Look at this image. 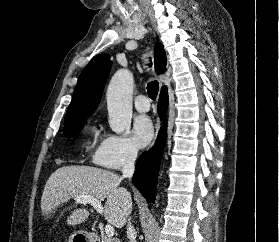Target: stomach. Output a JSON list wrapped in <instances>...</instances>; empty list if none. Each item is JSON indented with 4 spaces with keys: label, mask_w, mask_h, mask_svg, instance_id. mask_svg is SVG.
I'll list each match as a JSON object with an SVG mask.
<instances>
[{
    "label": "stomach",
    "mask_w": 279,
    "mask_h": 242,
    "mask_svg": "<svg viewBox=\"0 0 279 242\" xmlns=\"http://www.w3.org/2000/svg\"><path fill=\"white\" fill-rule=\"evenodd\" d=\"M90 239V235L84 231H76L69 236V242H88Z\"/></svg>",
    "instance_id": "obj_1"
}]
</instances>
